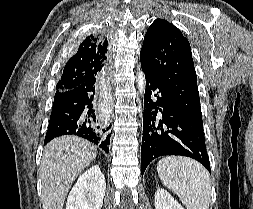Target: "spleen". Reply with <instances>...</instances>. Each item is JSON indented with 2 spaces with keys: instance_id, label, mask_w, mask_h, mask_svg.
Masks as SVG:
<instances>
[{
  "instance_id": "obj_1",
  "label": "spleen",
  "mask_w": 253,
  "mask_h": 209,
  "mask_svg": "<svg viewBox=\"0 0 253 209\" xmlns=\"http://www.w3.org/2000/svg\"><path fill=\"white\" fill-rule=\"evenodd\" d=\"M157 172L187 209H209L210 177L201 164L190 158L169 156L158 162Z\"/></svg>"
}]
</instances>
